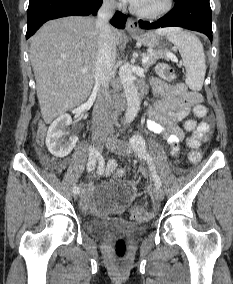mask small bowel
Returning a JSON list of instances; mask_svg holds the SVG:
<instances>
[{"label":"small bowel","mask_w":233,"mask_h":284,"mask_svg":"<svg viewBox=\"0 0 233 284\" xmlns=\"http://www.w3.org/2000/svg\"><path fill=\"white\" fill-rule=\"evenodd\" d=\"M153 88L161 99L150 110L147 127L150 131L165 137L171 146V154L177 155L179 143L184 139V132L178 123L184 120L191 107L201 104L202 97L199 93L189 91L183 84L168 85L165 82L154 80ZM211 122L205 119L192 130V135L187 139L190 148H197L208 138ZM188 131V130H187ZM46 163L57 171L66 167L64 160L50 158ZM90 201L84 198L82 206L90 207Z\"/></svg>","instance_id":"c3829d8e"}]
</instances>
